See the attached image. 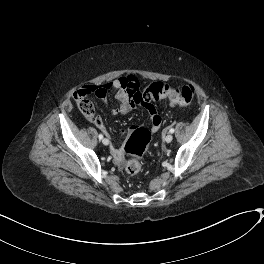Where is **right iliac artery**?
Segmentation results:
<instances>
[{
	"label": "right iliac artery",
	"mask_w": 264,
	"mask_h": 264,
	"mask_svg": "<svg viewBox=\"0 0 264 264\" xmlns=\"http://www.w3.org/2000/svg\"><path fill=\"white\" fill-rule=\"evenodd\" d=\"M98 137H99V139H103V135L102 134H99Z\"/></svg>",
	"instance_id": "82829eb1"
}]
</instances>
